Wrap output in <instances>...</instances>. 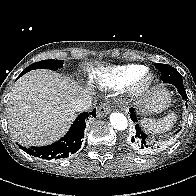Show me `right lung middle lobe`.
I'll return each instance as SVG.
<instances>
[{"label":"right lung middle lobe","mask_w":196,"mask_h":196,"mask_svg":"<svg viewBox=\"0 0 196 196\" xmlns=\"http://www.w3.org/2000/svg\"><path fill=\"white\" fill-rule=\"evenodd\" d=\"M63 65V60H42L31 64L22 71V75L34 69H51L56 71Z\"/></svg>","instance_id":"right-lung-middle-lobe-1"}]
</instances>
